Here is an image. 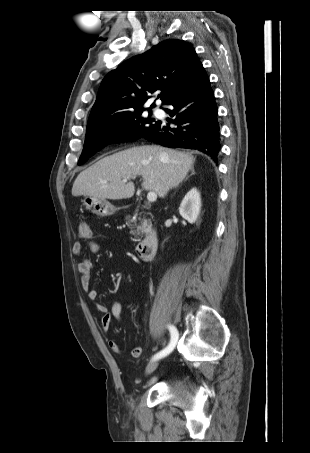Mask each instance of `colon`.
I'll return each mask as SVG.
<instances>
[{
    "mask_svg": "<svg viewBox=\"0 0 310 453\" xmlns=\"http://www.w3.org/2000/svg\"><path fill=\"white\" fill-rule=\"evenodd\" d=\"M78 235L80 238H89L91 235L90 226L86 221L80 222L78 226Z\"/></svg>",
    "mask_w": 310,
    "mask_h": 453,
    "instance_id": "5ec220e1",
    "label": "colon"
}]
</instances>
